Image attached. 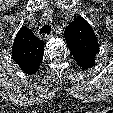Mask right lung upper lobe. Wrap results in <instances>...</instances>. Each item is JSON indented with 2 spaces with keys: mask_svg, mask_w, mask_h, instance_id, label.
Segmentation results:
<instances>
[{
  "mask_svg": "<svg viewBox=\"0 0 113 113\" xmlns=\"http://www.w3.org/2000/svg\"><path fill=\"white\" fill-rule=\"evenodd\" d=\"M44 42L32 31L22 27L12 46V58L25 73L37 72L43 58Z\"/></svg>",
  "mask_w": 113,
  "mask_h": 113,
  "instance_id": "right-lung-upper-lobe-1",
  "label": "right lung upper lobe"
}]
</instances>
